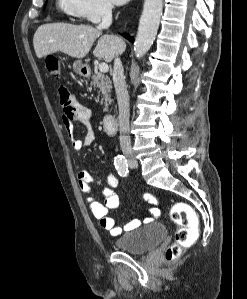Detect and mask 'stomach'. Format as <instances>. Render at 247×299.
I'll return each instance as SVG.
<instances>
[{
	"label": "stomach",
	"mask_w": 247,
	"mask_h": 299,
	"mask_svg": "<svg viewBox=\"0 0 247 299\" xmlns=\"http://www.w3.org/2000/svg\"><path fill=\"white\" fill-rule=\"evenodd\" d=\"M73 69L76 74L82 77H87L89 74V68L87 64L82 63L81 60H77L73 63Z\"/></svg>",
	"instance_id": "0dacf381"
}]
</instances>
